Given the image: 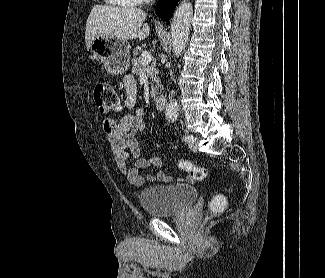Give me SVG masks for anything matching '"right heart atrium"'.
Instances as JSON below:
<instances>
[{
    "mask_svg": "<svg viewBox=\"0 0 325 278\" xmlns=\"http://www.w3.org/2000/svg\"><path fill=\"white\" fill-rule=\"evenodd\" d=\"M146 1H148V0H139L140 3H141V2H146Z\"/></svg>",
    "mask_w": 325,
    "mask_h": 278,
    "instance_id": "obj_1",
    "label": "right heart atrium"
}]
</instances>
